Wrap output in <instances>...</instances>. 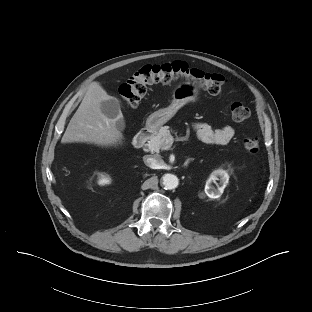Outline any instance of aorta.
I'll use <instances>...</instances> for the list:
<instances>
[{
    "label": "aorta",
    "instance_id": "aorta-1",
    "mask_svg": "<svg viewBox=\"0 0 312 312\" xmlns=\"http://www.w3.org/2000/svg\"><path fill=\"white\" fill-rule=\"evenodd\" d=\"M162 183L166 187V189H175L178 186L179 180L173 174H165L162 177Z\"/></svg>",
    "mask_w": 312,
    "mask_h": 312
}]
</instances>
